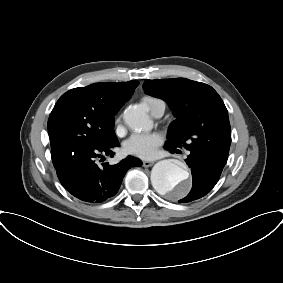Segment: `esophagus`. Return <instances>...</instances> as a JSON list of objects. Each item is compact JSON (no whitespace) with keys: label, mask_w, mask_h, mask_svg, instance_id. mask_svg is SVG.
I'll return each instance as SVG.
<instances>
[{"label":"esophagus","mask_w":283,"mask_h":283,"mask_svg":"<svg viewBox=\"0 0 283 283\" xmlns=\"http://www.w3.org/2000/svg\"><path fill=\"white\" fill-rule=\"evenodd\" d=\"M154 161H143V167H150L154 164Z\"/></svg>","instance_id":"esophagus-1"}]
</instances>
